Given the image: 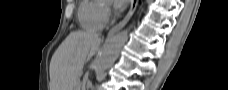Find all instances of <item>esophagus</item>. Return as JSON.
Wrapping results in <instances>:
<instances>
[{"instance_id": "1", "label": "esophagus", "mask_w": 228, "mask_h": 90, "mask_svg": "<svg viewBox=\"0 0 228 90\" xmlns=\"http://www.w3.org/2000/svg\"><path fill=\"white\" fill-rule=\"evenodd\" d=\"M137 5H138V0H132L131 1V6H130L128 13L117 25H115L114 27H112L110 29V31L108 32V37H111L114 34H116L118 31H120L127 24V22L130 20V18L134 14V12L137 8Z\"/></svg>"}]
</instances>
